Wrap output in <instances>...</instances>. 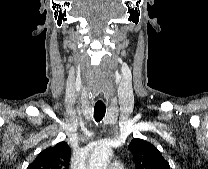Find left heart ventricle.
Here are the masks:
<instances>
[{
  "mask_svg": "<svg viewBox=\"0 0 208 169\" xmlns=\"http://www.w3.org/2000/svg\"><path fill=\"white\" fill-rule=\"evenodd\" d=\"M104 169H109V167H105Z\"/></svg>",
  "mask_w": 208,
  "mask_h": 169,
  "instance_id": "left-heart-ventricle-1",
  "label": "left heart ventricle"
}]
</instances>
